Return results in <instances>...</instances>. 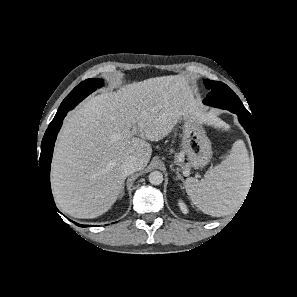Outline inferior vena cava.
I'll return each mask as SVG.
<instances>
[{
    "label": "inferior vena cava",
    "instance_id": "inferior-vena-cava-1",
    "mask_svg": "<svg viewBox=\"0 0 297 297\" xmlns=\"http://www.w3.org/2000/svg\"><path fill=\"white\" fill-rule=\"evenodd\" d=\"M122 173L124 176H128L132 174L133 172L138 170L137 162L134 158L128 159L126 162H124L121 166Z\"/></svg>",
    "mask_w": 297,
    "mask_h": 297
}]
</instances>
